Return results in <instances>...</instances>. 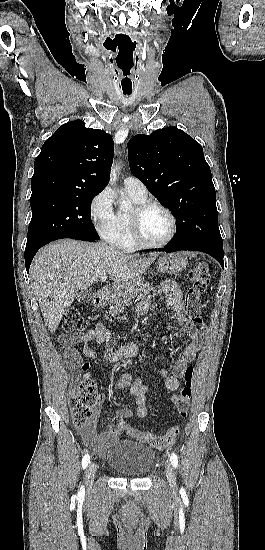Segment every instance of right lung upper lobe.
<instances>
[{
    "label": "right lung upper lobe",
    "instance_id": "right-lung-upper-lobe-1",
    "mask_svg": "<svg viewBox=\"0 0 265 550\" xmlns=\"http://www.w3.org/2000/svg\"><path fill=\"white\" fill-rule=\"evenodd\" d=\"M112 137L86 128L81 120L63 124L35 159L32 193L99 194L107 185L113 162Z\"/></svg>",
    "mask_w": 265,
    "mask_h": 550
}]
</instances>
